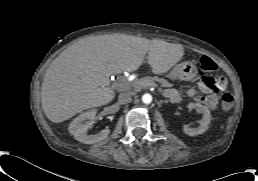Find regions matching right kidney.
Here are the masks:
<instances>
[{
    "label": "right kidney",
    "mask_w": 258,
    "mask_h": 181,
    "mask_svg": "<svg viewBox=\"0 0 258 181\" xmlns=\"http://www.w3.org/2000/svg\"><path fill=\"white\" fill-rule=\"evenodd\" d=\"M96 114V110H90L73 119L68 129L76 140L84 144H94L107 138L110 133L108 128L97 134H87L89 122L94 121Z\"/></svg>",
    "instance_id": "1"
}]
</instances>
